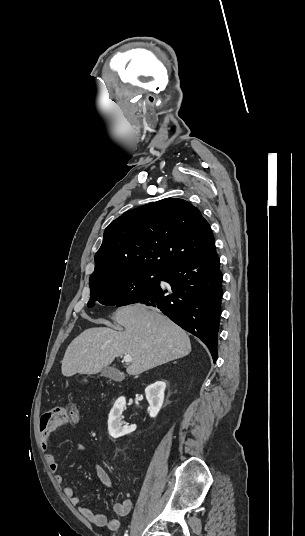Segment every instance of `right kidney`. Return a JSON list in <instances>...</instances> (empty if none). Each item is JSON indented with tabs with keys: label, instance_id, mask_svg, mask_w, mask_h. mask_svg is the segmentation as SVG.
<instances>
[{
	"label": "right kidney",
	"instance_id": "right-kidney-1",
	"mask_svg": "<svg viewBox=\"0 0 305 536\" xmlns=\"http://www.w3.org/2000/svg\"><path fill=\"white\" fill-rule=\"evenodd\" d=\"M165 388V382H155V384H151L145 390L146 398L150 404L149 416L151 418H155L158 412H160V408H162ZM125 404V398H118L109 414L108 432L112 438H120V436H125V434H129L130 432L129 426H122L121 424L123 418L121 414Z\"/></svg>",
	"mask_w": 305,
	"mask_h": 536
}]
</instances>
